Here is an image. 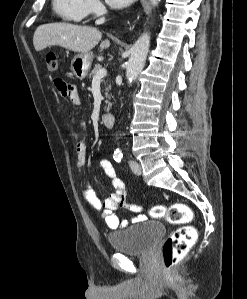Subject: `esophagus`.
Wrapping results in <instances>:
<instances>
[{
    "label": "esophagus",
    "mask_w": 247,
    "mask_h": 299,
    "mask_svg": "<svg viewBox=\"0 0 247 299\" xmlns=\"http://www.w3.org/2000/svg\"><path fill=\"white\" fill-rule=\"evenodd\" d=\"M142 1V4L146 7V8H149V2L148 0H141Z\"/></svg>",
    "instance_id": "1"
}]
</instances>
